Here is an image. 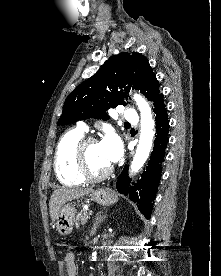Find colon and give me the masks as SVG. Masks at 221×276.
I'll return each mask as SVG.
<instances>
[{
    "label": "colon",
    "mask_w": 221,
    "mask_h": 276,
    "mask_svg": "<svg viewBox=\"0 0 221 276\" xmlns=\"http://www.w3.org/2000/svg\"><path fill=\"white\" fill-rule=\"evenodd\" d=\"M56 247H63L65 244L63 242H56Z\"/></svg>",
    "instance_id": "colon-1"
}]
</instances>
